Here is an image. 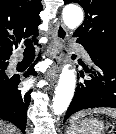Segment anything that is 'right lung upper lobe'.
Here are the masks:
<instances>
[{"instance_id":"cb5924a9","label":"right lung upper lobe","mask_w":116,"mask_h":134,"mask_svg":"<svg viewBox=\"0 0 116 134\" xmlns=\"http://www.w3.org/2000/svg\"><path fill=\"white\" fill-rule=\"evenodd\" d=\"M41 0H0V62H8L13 46L37 34Z\"/></svg>"}]
</instances>
